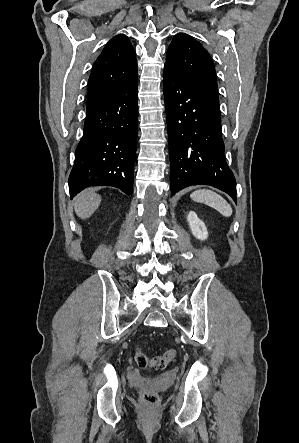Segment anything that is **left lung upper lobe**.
I'll return each mask as SVG.
<instances>
[{"instance_id": "1", "label": "left lung upper lobe", "mask_w": 299, "mask_h": 443, "mask_svg": "<svg viewBox=\"0 0 299 443\" xmlns=\"http://www.w3.org/2000/svg\"><path fill=\"white\" fill-rule=\"evenodd\" d=\"M164 67L219 100L213 61L207 50L191 36L185 33L175 35Z\"/></svg>"}]
</instances>
